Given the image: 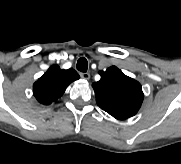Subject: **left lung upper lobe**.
<instances>
[{
    "label": "left lung upper lobe",
    "mask_w": 181,
    "mask_h": 164,
    "mask_svg": "<svg viewBox=\"0 0 181 164\" xmlns=\"http://www.w3.org/2000/svg\"><path fill=\"white\" fill-rule=\"evenodd\" d=\"M99 74L101 79L92 85L98 106L116 119L134 116L144 98L140 83L115 66Z\"/></svg>",
    "instance_id": "5c2ea615"
}]
</instances>
